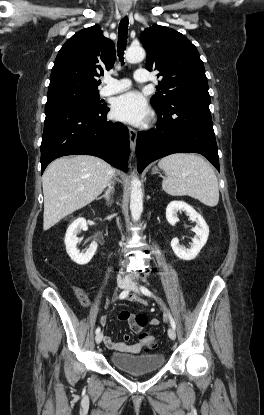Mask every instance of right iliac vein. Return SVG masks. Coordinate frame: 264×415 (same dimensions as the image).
<instances>
[{
	"label": "right iliac vein",
	"instance_id": "right-iliac-vein-1",
	"mask_svg": "<svg viewBox=\"0 0 264 415\" xmlns=\"http://www.w3.org/2000/svg\"><path fill=\"white\" fill-rule=\"evenodd\" d=\"M118 286L121 289L127 288L129 286V282L127 280H124V279L120 280V281H118ZM102 339H103V333H98L95 337V341H96L97 344L101 343Z\"/></svg>",
	"mask_w": 264,
	"mask_h": 415
}]
</instances>
